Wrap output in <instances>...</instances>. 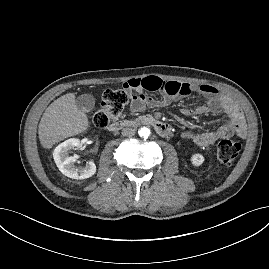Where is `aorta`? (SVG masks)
<instances>
[{
  "instance_id": "obj_1",
  "label": "aorta",
  "mask_w": 269,
  "mask_h": 269,
  "mask_svg": "<svg viewBox=\"0 0 269 269\" xmlns=\"http://www.w3.org/2000/svg\"><path fill=\"white\" fill-rule=\"evenodd\" d=\"M138 132H139V135L143 138H148L151 134L150 129L147 127L140 128Z\"/></svg>"
}]
</instances>
